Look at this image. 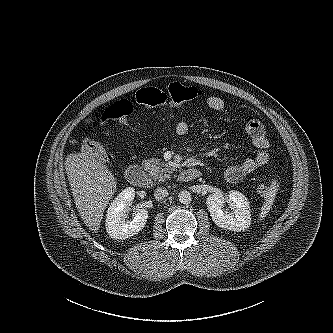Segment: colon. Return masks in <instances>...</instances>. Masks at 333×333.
Listing matches in <instances>:
<instances>
[{"mask_svg":"<svg viewBox=\"0 0 333 333\" xmlns=\"http://www.w3.org/2000/svg\"><path fill=\"white\" fill-rule=\"evenodd\" d=\"M201 96V91L196 87L185 86L178 82L171 83L166 91L155 87L140 89L136 94V101L146 107H178L183 103L195 100ZM133 112L131 101L123 99L103 109L98 120L101 124L117 123L123 126L128 125L129 116ZM84 151L96 156L104 155L103 149L99 143L87 139L85 141ZM281 184L275 180L268 181L258 186L257 191L260 194H267L279 190Z\"/></svg>","mask_w":333,"mask_h":333,"instance_id":"5ec220e1","label":"colon"}]
</instances>
